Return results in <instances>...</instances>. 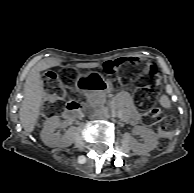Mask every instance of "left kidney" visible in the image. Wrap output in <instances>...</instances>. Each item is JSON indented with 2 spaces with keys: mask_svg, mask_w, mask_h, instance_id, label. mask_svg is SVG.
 <instances>
[{
  "mask_svg": "<svg viewBox=\"0 0 194 193\" xmlns=\"http://www.w3.org/2000/svg\"><path fill=\"white\" fill-rule=\"evenodd\" d=\"M134 132L144 138V143H138L136 140H132L131 149L135 153L144 155L157 147L158 137L151 129H148L144 126H136L134 128Z\"/></svg>",
  "mask_w": 194,
  "mask_h": 193,
  "instance_id": "obj_1",
  "label": "left kidney"
}]
</instances>
